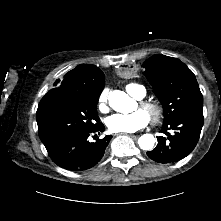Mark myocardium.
I'll list each match as a JSON object with an SVG mask.
<instances>
[{
  "label": "myocardium",
  "instance_id": "f54148a6",
  "mask_svg": "<svg viewBox=\"0 0 221 221\" xmlns=\"http://www.w3.org/2000/svg\"><path fill=\"white\" fill-rule=\"evenodd\" d=\"M139 106L143 110H147L151 113L150 120L153 124H157L161 120L163 108L158 102L152 100H143L140 101Z\"/></svg>",
  "mask_w": 221,
  "mask_h": 221
}]
</instances>
